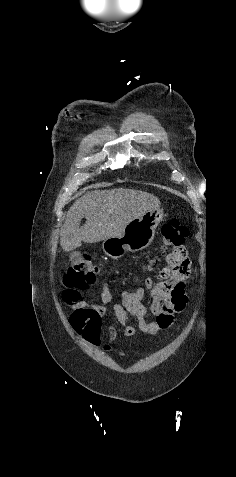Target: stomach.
<instances>
[{
	"label": "stomach",
	"mask_w": 236,
	"mask_h": 477,
	"mask_svg": "<svg viewBox=\"0 0 236 477\" xmlns=\"http://www.w3.org/2000/svg\"><path fill=\"white\" fill-rule=\"evenodd\" d=\"M163 220V210L147 211L142 216L132 220L124 231L103 241L104 253L113 259L122 257L126 252L141 251L154 240L155 230Z\"/></svg>",
	"instance_id": "0dacf381"
}]
</instances>
